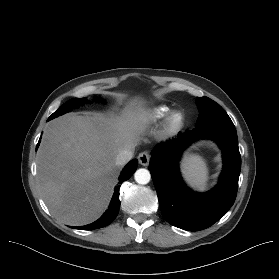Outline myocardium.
Listing matches in <instances>:
<instances>
[{"instance_id":"obj_1","label":"myocardium","mask_w":279,"mask_h":279,"mask_svg":"<svg viewBox=\"0 0 279 279\" xmlns=\"http://www.w3.org/2000/svg\"><path fill=\"white\" fill-rule=\"evenodd\" d=\"M184 122V116L181 112L175 111L168 115L166 125L170 131H178Z\"/></svg>"}]
</instances>
